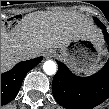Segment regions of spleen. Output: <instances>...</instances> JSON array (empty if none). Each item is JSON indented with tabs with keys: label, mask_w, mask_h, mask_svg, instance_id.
I'll return each mask as SVG.
<instances>
[{
	"label": "spleen",
	"mask_w": 109,
	"mask_h": 109,
	"mask_svg": "<svg viewBox=\"0 0 109 109\" xmlns=\"http://www.w3.org/2000/svg\"><path fill=\"white\" fill-rule=\"evenodd\" d=\"M98 68H99V67H98ZM98 68H97V69H98ZM97 69H96V70H97ZM96 70H94V71H89V72H86L85 74H86V75H91V74H93V73H94Z\"/></svg>",
	"instance_id": "spleen-1"
}]
</instances>
